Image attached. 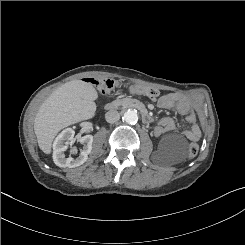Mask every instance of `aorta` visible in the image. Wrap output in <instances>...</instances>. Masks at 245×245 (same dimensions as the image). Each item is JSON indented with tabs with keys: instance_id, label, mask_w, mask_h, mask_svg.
Wrapping results in <instances>:
<instances>
[{
	"instance_id": "1",
	"label": "aorta",
	"mask_w": 245,
	"mask_h": 245,
	"mask_svg": "<svg viewBox=\"0 0 245 245\" xmlns=\"http://www.w3.org/2000/svg\"><path fill=\"white\" fill-rule=\"evenodd\" d=\"M123 119L128 124H135L138 121V114L136 110H128L124 113Z\"/></svg>"
}]
</instances>
